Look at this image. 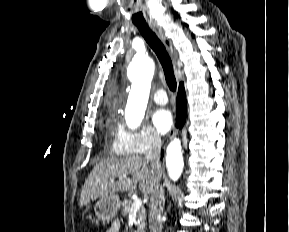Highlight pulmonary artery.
Listing matches in <instances>:
<instances>
[{"instance_id": "1", "label": "pulmonary artery", "mask_w": 289, "mask_h": 232, "mask_svg": "<svg viewBox=\"0 0 289 232\" xmlns=\"http://www.w3.org/2000/svg\"><path fill=\"white\" fill-rule=\"evenodd\" d=\"M153 100L160 105H165L168 101L167 99V95L166 92L162 89L157 90L154 94H153Z\"/></svg>"}]
</instances>
